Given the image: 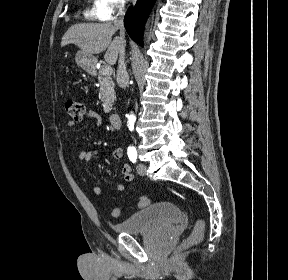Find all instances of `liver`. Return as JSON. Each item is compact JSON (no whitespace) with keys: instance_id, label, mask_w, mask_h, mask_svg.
Listing matches in <instances>:
<instances>
[{"instance_id":"liver-1","label":"liver","mask_w":288,"mask_h":280,"mask_svg":"<svg viewBox=\"0 0 288 280\" xmlns=\"http://www.w3.org/2000/svg\"><path fill=\"white\" fill-rule=\"evenodd\" d=\"M117 27L111 23H80L72 25L64 34L61 46L69 43L77 45L82 51L88 54H99L106 51L105 60L114 65L118 53L124 45L120 37L112 36L116 33Z\"/></svg>"}]
</instances>
